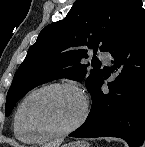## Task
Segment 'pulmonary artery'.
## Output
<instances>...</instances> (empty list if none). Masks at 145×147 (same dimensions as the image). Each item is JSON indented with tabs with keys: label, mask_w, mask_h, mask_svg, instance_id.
<instances>
[{
	"label": "pulmonary artery",
	"mask_w": 145,
	"mask_h": 147,
	"mask_svg": "<svg viewBox=\"0 0 145 147\" xmlns=\"http://www.w3.org/2000/svg\"><path fill=\"white\" fill-rule=\"evenodd\" d=\"M98 57L105 63H110V61H111L110 54H108L106 52H99Z\"/></svg>",
	"instance_id": "1"
}]
</instances>
